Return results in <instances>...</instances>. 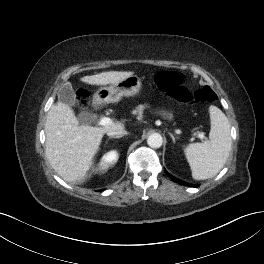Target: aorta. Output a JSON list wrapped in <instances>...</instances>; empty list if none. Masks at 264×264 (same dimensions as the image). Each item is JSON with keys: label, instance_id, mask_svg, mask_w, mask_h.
Masks as SVG:
<instances>
[{"label": "aorta", "instance_id": "1", "mask_svg": "<svg viewBox=\"0 0 264 264\" xmlns=\"http://www.w3.org/2000/svg\"><path fill=\"white\" fill-rule=\"evenodd\" d=\"M147 144L151 148H160L163 144V138L159 133H152L147 138Z\"/></svg>", "mask_w": 264, "mask_h": 264}]
</instances>
